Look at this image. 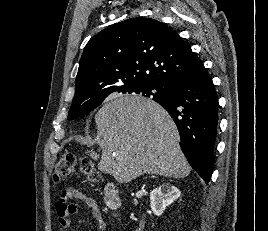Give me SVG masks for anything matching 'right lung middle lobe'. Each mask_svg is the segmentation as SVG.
<instances>
[{
	"instance_id": "1",
	"label": "right lung middle lobe",
	"mask_w": 268,
	"mask_h": 231,
	"mask_svg": "<svg viewBox=\"0 0 268 231\" xmlns=\"http://www.w3.org/2000/svg\"><path fill=\"white\" fill-rule=\"evenodd\" d=\"M120 92L123 93H142L143 96L145 97H152L153 100L156 98H161L165 96V89L161 85L157 84H144V85H139V86H131L122 89ZM104 99H101L97 102H94L89 105H81L77 103H72L69 114H68V119L73 120L75 118H78L80 116H84L94 110L97 106H99Z\"/></svg>"
}]
</instances>
